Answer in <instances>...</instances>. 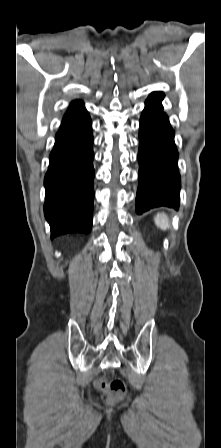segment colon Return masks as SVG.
I'll return each mask as SVG.
<instances>
[{
    "label": "colon",
    "mask_w": 221,
    "mask_h": 448,
    "mask_svg": "<svg viewBox=\"0 0 221 448\" xmlns=\"http://www.w3.org/2000/svg\"><path fill=\"white\" fill-rule=\"evenodd\" d=\"M97 387L108 392V401L110 403L121 401L126 393L125 384L120 378H114L110 382L101 378L97 381Z\"/></svg>",
    "instance_id": "colon-1"
}]
</instances>
